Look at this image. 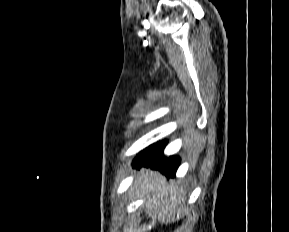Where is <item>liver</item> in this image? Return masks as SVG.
Returning a JSON list of instances; mask_svg holds the SVG:
<instances>
[{"label": "liver", "mask_w": 289, "mask_h": 232, "mask_svg": "<svg viewBox=\"0 0 289 232\" xmlns=\"http://www.w3.org/2000/svg\"><path fill=\"white\" fill-rule=\"evenodd\" d=\"M133 186L141 197L150 195L145 202L146 216H153L161 224L175 222L188 211L183 188L176 182L168 183L166 177L158 172L141 170L137 173Z\"/></svg>", "instance_id": "liver-1"}]
</instances>
